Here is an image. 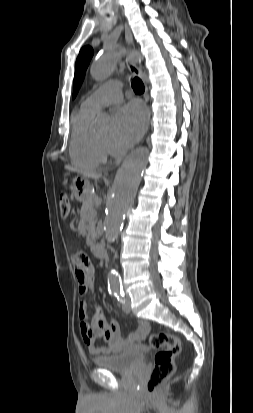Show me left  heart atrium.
Segmentation results:
<instances>
[{
	"label": "left heart atrium",
	"instance_id": "left-heart-atrium-1",
	"mask_svg": "<svg viewBox=\"0 0 253 413\" xmlns=\"http://www.w3.org/2000/svg\"><path fill=\"white\" fill-rule=\"evenodd\" d=\"M146 128V112L138 103H129L116 115L115 140L123 147L135 143Z\"/></svg>",
	"mask_w": 253,
	"mask_h": 413
}]
</instances>
